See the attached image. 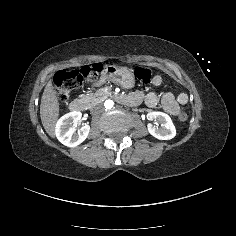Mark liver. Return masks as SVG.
<instances>
[{
	"instance_id": "1",
	"label": "liver",
	"mask_w": 236,
	"mask_h": 236,
	"mask_svg": "<svg viewBox=\"0 0 236 236\" xmlns=\"http://www.w3.org/2000/svg\"><path fill=\"white\" fill-rule=\"evenodd\" d=\"M59 116V102L52 82L49 81L44 89L41 104L40 117L44 129L52 138L55 137L56 122Z\"/></svg>"
}]
</instances>
